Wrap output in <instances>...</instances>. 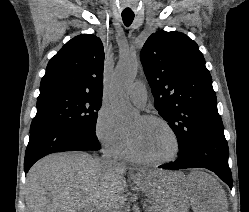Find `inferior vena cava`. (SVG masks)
<instances>
[{"label":"inferior vena cava","instance_id":"1","mask_svg":"<svg viewBox=\"0 0 249 212\" xmlns=\"http://www.w3.org/2000/svg\"><path fill=\"white\" fill-rule=\"evenodd\" d=\"M104 164H114V160H112V154L109 150H102V160Z\"/></svg>","mask_w":249,"mask_h":212}]
</instances>
